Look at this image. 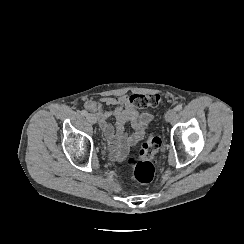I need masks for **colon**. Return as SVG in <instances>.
<instances>
[{
  "instance_id": "obj_1",
  "label": "colon",
  "mask_w": 244,
  "mask_h": 244,
  "mask_svg": "<svg viewBox=\"0 0 244 244\" xmlns=\"http://www.w3.org/2000/svg\"><path fill=\"white\" fill-rule=\"evenodd\" d=\"M164 101L159 93L134 94L130 97V103L134 108H157ZM162 140L155 130H151L146 136L137 157L127 159V164L135 170L136 180L141 183H149L154 176L153 158L161 147Z\"/></svg>"
}]
</instances>
